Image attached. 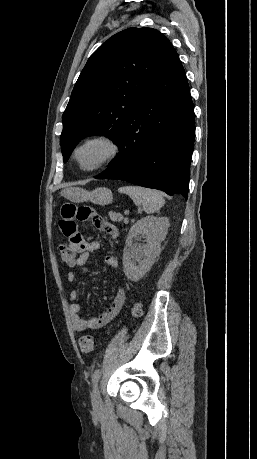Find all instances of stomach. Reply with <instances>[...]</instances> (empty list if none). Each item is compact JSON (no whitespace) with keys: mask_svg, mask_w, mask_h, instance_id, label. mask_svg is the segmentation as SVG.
<instances>
[{"mask_svg":"<svg viewBox=\"0 0 257 459\" xmlns=\"http://www.w3.org/2000/svg\"><path fill=\"white\" fill-rule=\"evenodd\" d=\"M62 194L69 200H75V202L90 201L101 206L111 203L113 198L111 190L105 187H99L92 191L80 187H71L65 189Z\"/></svg>","mask_w":257,"mask_h":459,"instance_id":"1","label":"stomach"}]
</instances>
